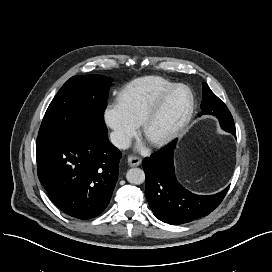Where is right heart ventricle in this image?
<instances>
[{
  "mask_svg": "<svg viewBox=\"0 0 272 272\" xmlns=\"http://www.w3.org/2000/svg\"><path fill=\"white\" fill-rule=\"evenodd\" d=\"M172 86V82L158 76L138 78L123 88L118 103L130 121L138 126L150 107Z\"/></svg>",
  "mask_w": 272,
  "mask_h": 272,
  "instance_id": "e07e8e85",
  "label": "right heart ventricle"
}]
</instances>
